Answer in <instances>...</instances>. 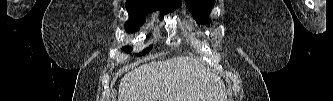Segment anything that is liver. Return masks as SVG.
Listing matches in <instances>:
<instances>
[{"instance_id": "liver-1", "label": "liver", "mask_w": 333, "mask_h": 101, "mask_svg": "<svg viewBox=\"0 0 333 101\" xmlns=\"http://www.w3.org/2000/svg\"><path fill=\"white\" fill-rule=\"evenodd\" d=\"M218 75L191 57L152 61L124 75L119 101H226Z\"/></svg>"}]
</instances>
